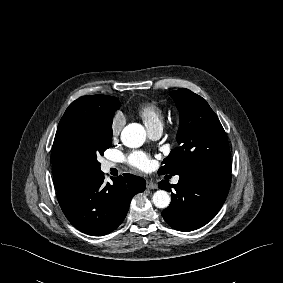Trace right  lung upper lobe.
<instances>
[{"instance_id": "obj_1", "label": "right lung upper lobe", "mask_w": 283, "mask_h": 283, "mask_svg": "<svg viewBox=\"0 0 283 283\" xmlns=\"http://www.w3.org/2000/svg\"><path fill=\"white\" fill-rule=\"evenodd\" d=\"M114 101L119 102V100L116 97L105 96V95L82 96L70 104V106L65 111L63 117L67 115L69 112L74 110L90 112L96 108L104 109L106 104ZM55 141H56V136L54 139L53 150H52V165H53V155L55 150ZM53 177L57 192H61L75 183V182L66 181L61 177H59L54 166H53Z\"/></svg>"}]
</instances>
